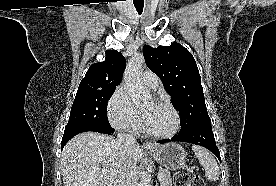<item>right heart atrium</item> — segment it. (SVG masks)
Wrapping results in <instances>:
<instances>
[{
    "mask_svg": "<svg viewBox=\"0 0 276 186\" xmlns=\"http://www.w3.org/2000/svg\"><path fill=\"white\" fill-rule=\"evenodd\" d=\"M107 116L111 125L123 132L135 134L140 128V119L124 86L118 87L110 97Z\"/></svg>",
    "mask_w": 276,
    "mask_h": 186,
    "instance_id": "d8ad5b80",
    "label": "right heart atrium"
}]
</instances>
